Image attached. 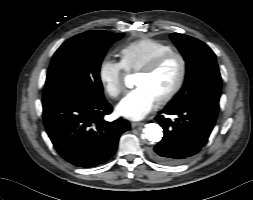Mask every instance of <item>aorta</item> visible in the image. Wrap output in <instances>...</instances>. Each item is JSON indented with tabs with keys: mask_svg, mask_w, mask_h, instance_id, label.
<instances>
[{
	"mask_svg": "<svg viewBox=\"0 0 253 200\" xmlns=\"http://www.w3.org/2000/svg\"><path fill=\"white\" fill-rule=\"evenodd\" d=\"M126 84L129 87L130 81L126 80ZM142 136L148 141L159 142L163 136L162 128L158 124L149 123L145 125Z\"/></svg>",
	"mask_w": 253,
	"mask_h": 200,
	"instance_id": "1",
	"label": "aorta"
}]
</instances>
